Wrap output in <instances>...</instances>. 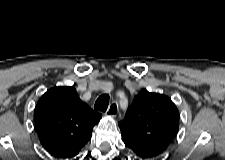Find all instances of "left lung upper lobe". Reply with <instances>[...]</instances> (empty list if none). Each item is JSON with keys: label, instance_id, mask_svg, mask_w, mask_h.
I'll return each instance as SVG.
<instances>
[{"label": "left lung upper lobe", "instance_id": "1", "mask_svg": "<svg viewBox=\"0 0 225 160\" xmlns=\"http://www.w3.org/2000/svg\"><path fill=\"white\" fill-rule=\"evenodd\" d=\"M124 144L142 159L160 155L179 129V112L165 95L143 89L119 122Z\"/></svg>", "mask_w": 225, "mask_h": 160}]
</instances>
